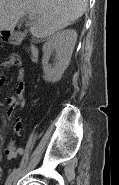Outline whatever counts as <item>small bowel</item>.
Here are the masks:
<instances>
[{
    "instance_id": "small-bowel-1",
    "label": "small bowel",
    "mask_w": 119,
    "mask_h": 185,
    "mask_svg": "<svg viewBox=\"0 0 119 185\" xmlns=\"http://www.w3.org/2000/svg\"><path fill=\"white\" fill-rule=\"evenodd\" d=\"M0 66L2 69L10 67L17 68L16 80L18 82V85L16 89V95L6 98V115L7 118H11L15 109L18 106L24 107L25 105V101L22 97V94L26 87L24 81L25 70L21 67L20 60L16 56H12L9 60L1 62ZM5 83H6L5 77L4 75H1L0 85L3 86L5 85ZM21 131H22V119L20 117H16L13 132L16 137H19L21 135ZM5 153L9 159H13L16 158L17 156L23 155L24 148L16 147L14 142H11L6 148Z\"/></svg>"
}]
</instances>
